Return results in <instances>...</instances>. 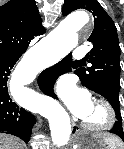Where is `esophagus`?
<instances>
[{
	"instance_id": "34e87169",
	"label": "esophagus",
	"mask_w": 124,
	"mask_h": 149,
	"mask_svg": "<svg viewBox=\"0 0 124 149\" xmlns=\"http://www.w3.org/2000/svg\"><path fill=\"white\" fill-rule=\"evenodd\" d=\"M73 127H74V129H76V130H77V125H76V124H73Z\"/></svg>"
}]
</instances>
